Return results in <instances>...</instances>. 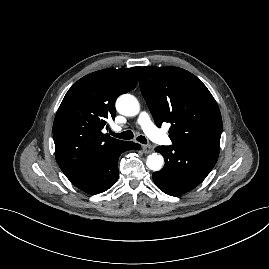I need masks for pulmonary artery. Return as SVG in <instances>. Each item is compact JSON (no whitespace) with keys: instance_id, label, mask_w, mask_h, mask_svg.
<instances>
[{"instance_id":"e3ab8cb5","label":"pulmonary artery","mask_w":269,"mask_h":269,"mask_svg":"<svg viewBox=\"0 0 269 269\" xmlns=\"http://www.w3.org/2000/svg\"><path fill=\"white\" fill-rule=\"evenodd\" d=\"M137 123L150 139L162 144L170 143V139L154 125L148 112L142 111L138 116ZM115 130L118 131L120 128L116 127Z\"/></svg>"}]
</instances>
